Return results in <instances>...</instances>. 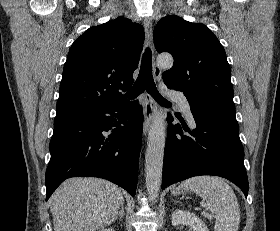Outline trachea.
I'll list each match as a JSON object with an SVG mask.
<instances>
[{
	"mask_svg": "<svg viewBox=\"0 0 280 231\" xmlns=\"http://www.w3.org/2000/svg\"><path fill=\"white\" fill-rule=\"evenodd\" d=\"M147 91L161 106L170 107L171 104L163 98L156 88L152 76V53L150 48H146L141 62L139 76L132 86L131 90L126 93L128 98H136L143 91Z\"/></svg>",
	"mask_w": 280,
	"mask_h": 231,
	"instance_id": "1",
	"label": "trachea"
}]
</instances>
